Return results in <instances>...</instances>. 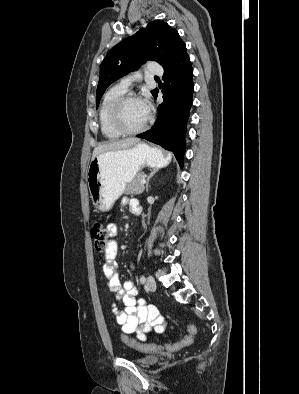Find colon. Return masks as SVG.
Returning <instances> with one entry per match:
<instances>
[{"mask_svg": "<svg viewBox=\"0 0 299 394\" xmlns=\"http://www.w3.org/2000/svg\"><path fill=\"white\" fill-rule=\"evenodd\" d=\"M91 237L94 243V247L97 251H103L107 249L110 242V235L107 226L99 219H96L90 229ZM196 334V328L194 326L189 327V334L184 337L181 342L168 345L169 348H179L189 346L193 343L194 336ZM122 339L128 344L138 348L142 351H150L159 348L157 345H143L135 341L130 340L126 335H122Z\"/></svg>", "mask_w": 299, "mask_h": 394, "instance_id": "colon-1", "label": "colon"}]
</instances>
